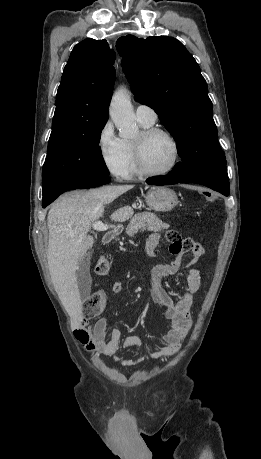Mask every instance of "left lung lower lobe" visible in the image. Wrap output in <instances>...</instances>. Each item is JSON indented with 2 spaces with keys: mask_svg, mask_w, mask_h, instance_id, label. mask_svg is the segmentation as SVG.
I'll return each mask as SVG.
<instances>
[{
  "mask_svg": "<svg viewBox=\"0 0 261 459\" xmlns=\"http://www.w3.org/2000/svg\"><path fill=\"white\" fill-rule=\"evenodd\" d=\"M189 182L205 185L225 196L229 195V178L226 167L205 168L189 175H183L178 170L173 169L167 175L147 180V183L152 185H171Z\"/></svg>",
  "mask_w": 261,
  "mask_h": 459,
  "instance_id": "0a47b994",
  "label": "left lung lower lobe"
}]
</instances>
